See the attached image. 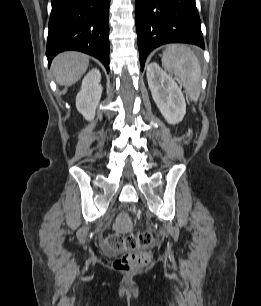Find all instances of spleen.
Wrapping results in <instances>:
<instances>
[{
    "instance_id": "spleen-1",
    "label": "spleen",
    "mask_w": 261,
    "mask_h": 306,
    "mask_svg": "<svg viewBox=\"0 0 261 306\" xmlns=\"http://www.w3.org/2000/svg\"><path fill=\"white\" fill-rule=\"evenodd\" d=\"M162 66L178 78L189 99L197 102L200 96L201 66L194 52L185 45H170L163 52Z\"/></svg>"
}]
</instances>
